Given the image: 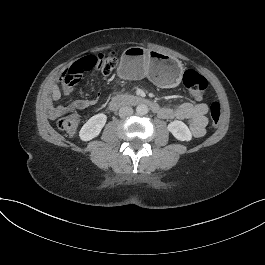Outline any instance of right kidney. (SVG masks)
<instances>
[{
	"label": "right kidney",
	"instance_id": "obj_1",
	"mask_svg": "<svg viewBox=\"0 0 265 265\" xmlns=\"http://www.w3.org/2000/svg\"><path fill=\"white\" fill-rule=\"evenodd\" d=\"M107 120V116L99 113L91 117L79 132L82 141H89L99 135Z\"/></svg>",
	"mask_w": 265,
	"mask_h": 265
}]
</instances>
